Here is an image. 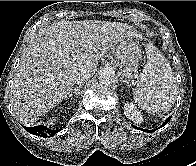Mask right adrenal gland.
<instances>
[{"label":"right adrenal gland","mask_w":196,"mask_h":166,"mask_svg":"<svg viewBox=\"0 0 196 166\" xmlns=\"http://www.w3.org/2000/svg\"><path fill=\"white\" fill-rule=\"evenodd\" d=\"M81 87H82L81 85L76 86V87L72 90V92L69 94V97H72L74 93H75L76 95H79V93H80L79 90H80Z\"/></svg>","instance_id":"right-adrenal-gland-1"}]
</instances>
